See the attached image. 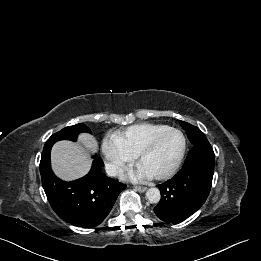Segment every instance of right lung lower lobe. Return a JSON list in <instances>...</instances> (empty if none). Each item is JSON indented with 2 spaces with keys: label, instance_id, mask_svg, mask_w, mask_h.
<instances>
[{
  "label": "right lung lower lobe",
  "instance_id": "98d812e1",
  "mask_svg": "<svg viewBox=\"0 0 261 261\" xmlns=\"http://www.w3.org/2000/svg\"><path fill=\"white\" fill-rule=\"evenodd\" d=\"M51 147L44 146L40 173L47 199L55 213L64 221L79 227L99 225L109 214L125 184L107 177L102 159L94 157L90 172L76 181L57 178L50 165Z\"/></svg>",
  "mask_w": 261,
  "mask_h": 261
}]
</instances>
